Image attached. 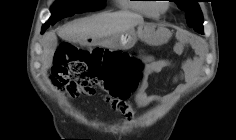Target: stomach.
<instances>
[{
	"label": "stomach",
	"mask_w": 236,
	"mask_h": 140,
	"mask_svg": "<svg viewBox=\"0 0 236 140\" xmlns=\"http://www.w3.org/2000/svg\"><path fill=\"white\" fill-rule=\"evenodd\" d=\"M170 36L171 32L169 29L161 24L143 23L138 26L137 31L134 29H130L124 33H121V31H114V36L98 41L100 44L110 48L128 49L135 44L137 38L151 45H161L166 43Z\"/></svg>",
	"instance_id": "1"
}]
</instances>
